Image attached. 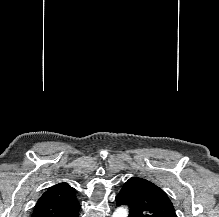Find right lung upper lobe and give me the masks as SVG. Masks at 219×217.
Wrapping results in <instances>:
<instances>
[{
	"instance_id": "right-lung-upper-lobe-1",
	"label": "right lung upper lobe",
	"mask_w": 219,
	"mask_h": 217,
	"mask_svg": "<svg viewBox=\"0 0 219 217\" xmlns=\"http://www.w3.org/2000/svg\"><path fill=\"white\" fill-rule=\"evenodd\" d=\"M79 209L75 189L67 183H59L43 193L31 217H71Z\"/></svg>"
}]
</instances>
